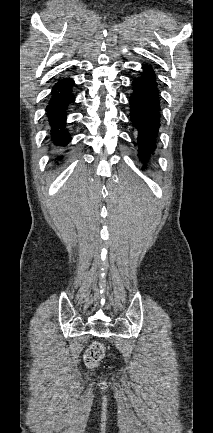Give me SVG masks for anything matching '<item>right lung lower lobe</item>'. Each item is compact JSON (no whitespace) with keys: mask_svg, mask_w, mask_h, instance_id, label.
<instances>
[{"mask_svg":"<svg viewBox=\"0 0 213 433\" xmlns=\"http://www.w3.org/2000/svg\"><path fill=\"white\" fill-rule=\"evenodd\" d=\"M74 85L72 79H63L56 83L52 89V97L46 107L48 122L51 126L50 140L56 146H66L70 141L66 124V109L75 98L71 94ZM58 159L62 155L57 156Z\"/></svg>","mask_w":213,"mask_h":433,"instance_id":"98d812e1","label":"right lung lower lobe"}]
</instances>
